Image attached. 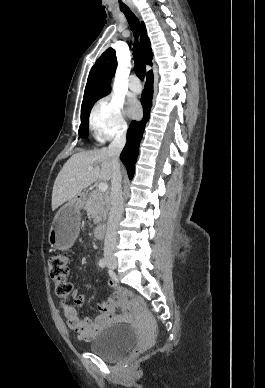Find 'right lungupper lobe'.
<instances>
[{"instance_id": "cb5924a9", "label": "right lung upper lobe", "mask_w": 265, "mask_h": 388, "mask_svg": "<svg viewBox=\"0 0 265 388\" xmlns=\"http://www.w3.org/2000/svg\"><path fill=\"white\" fill-rule=\"evenodd\" d=\"M141 44L144 50L146 64L152 65L153 53L151 49V43L147 36L146 28L143 24ZM116 68L117 58L115 50L108 48L96 61L90 71L82 104L92 97L110 92L111 87L108 83L115 73Z\"/></svg>"}]
</instances>
